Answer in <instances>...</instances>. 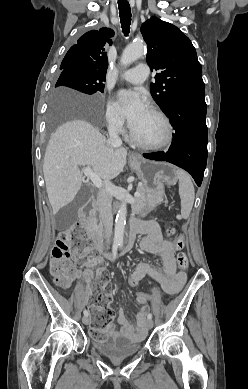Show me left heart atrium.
<instances>
[{
  "label": "left heart atrium",
  "mask_w": 248,
  "mask_h": 389,
  "mask_svg": "<svg viewBox=\"0 0 248 389\" xmlns=\"http://www.w3.org/2000/svg\"><path fill=\"white\" fill-rule=\"evenodd\" d=\"M117 103L130 127H133L147 110L143 96L134 90H121L117 93Z\"/></svg>",
  "instance_id": "obj_1"
}]
</instances>
